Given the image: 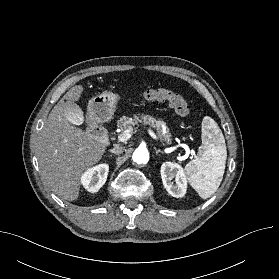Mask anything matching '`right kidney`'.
Masks as SVG:
<instances>
[{"label":"right kidney","mask_w":279,"mask_h":279,"mask_svg":"<svg viewBox=\"0 0 279 279\" xmlns=\"http://www.w3.org/2000/svg\"><path fill=\"white\" fill-rule=\"evenodd\" d=\"M108 171V164H99L92 167L83 173L81 183L88 192H98L107 180Z\"/></svg>","instance_id":"1"}]
</instances>
